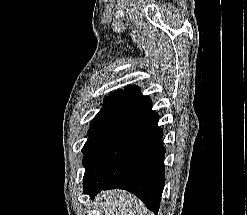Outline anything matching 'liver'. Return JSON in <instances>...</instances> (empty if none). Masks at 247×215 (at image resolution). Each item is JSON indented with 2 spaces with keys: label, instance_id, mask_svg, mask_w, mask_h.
<instances>
[{
  "label": "liver",
  "instance_id": "liver-1",
  "mask_svg": "<svg viewBox=\"0 0 247 215\" xmlns=\"http://www.w3.org/2000/svg\"><path fill=\"white\" fill-rule=\"evenodd\" d=\"M104 198V201H100ZM96 201L100 202L105 215H144L145 206L136 197L121 190L101 192Z\"/></svg>",
  "mask_w": 247,
  "mask_h": 215
}]
</instances>
